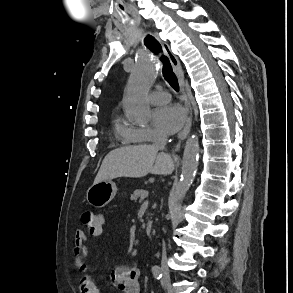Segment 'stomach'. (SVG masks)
<instances>
[{
	"mask_svg": "<svg viewBox=\"0 0 293 293\" xmlns=\"http://www.w3.org/2000/svg\"><path fill=\"white\" fill-rule=\"evenodd\" d=\"M117 187L112 181L93 184L87 191V201L96 208L106 206L116 195Z\"/></svg>",
	"mask_w": 293,
	"mask_h": 293,
	"instance_id": "obj_1",
	"label": "stomach"
}]
</instances>
